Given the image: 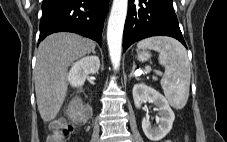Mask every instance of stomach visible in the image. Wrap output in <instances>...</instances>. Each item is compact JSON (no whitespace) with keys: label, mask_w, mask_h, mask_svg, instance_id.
I'll return each instance as SVG.
<instances>
[{"label":"stomach","mask_w":227,"mask_h":142,"mask_svg":"<svg viewBox=\"0 0 227 142\" xmlns=\"http://www.w3.org/2000/svg\"><path fill=\"white\" fill-rule=\"evenodd\" d=\"M137 57L140 61H146L150 57V54L147 51H138Z\"/></svg>","instance_id":"stomach-1"}]
</instances>
